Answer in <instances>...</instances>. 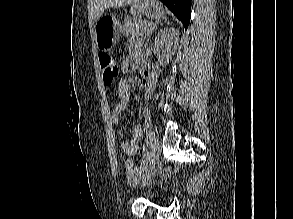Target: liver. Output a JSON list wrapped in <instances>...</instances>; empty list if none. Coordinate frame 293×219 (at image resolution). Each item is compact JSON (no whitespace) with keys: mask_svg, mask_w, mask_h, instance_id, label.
Returning a JSON list of instances; mask_svg holds the SVG:
<instances>
[{"mask_svg":"<svg viewBox=\"0 0 293 219\" xmlns=\"http://www.w3.org/2000/svg\"><path fill=\"white\" fill-rule=\"evenodd\" d=\"M141 0H94L93 19L98 20L106 9L133 5Z\"/></svg>","mask_w":293,"mask_h":219,"instance_id":"liver-1","label":"liver"}]
</instances>
